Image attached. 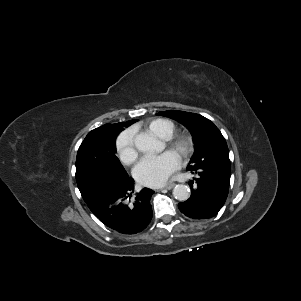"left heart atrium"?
<instances>
[{
  "instance_id": "left-heart-atrium-1",
  "label": "left heart atrium",
  "mask_w": 301,
  "mask_h": 301,
  "mask_svg": "<svg viewBox=\"0 0 301 301\" xmlns=\"http://www.w3.org/2000/svg\"><path fill=\"white\" fill-rule=\"evenodd\" d=\"M180 167L179 157L172 151L144 157L134 169L136 180L146 186H160Z\"/></svg>"
}]
</instances>
